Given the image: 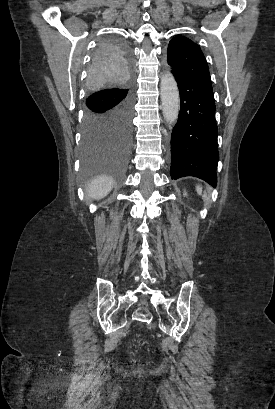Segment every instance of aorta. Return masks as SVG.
<instances>
[{
    "label": "aorta",
    "mask_w": 275,
    "mask_h": 409,
    "mask_svg": "<svg viewBox=\"0 0 275 409\" xmlns=\"http://www.w3.org/2000/svg\"><path fill=\"white\" fill-rule=\"evenodd\" d=\"M160 94L164 118L172 124L178 118L180 98L177 82L171 72L162 74Z\"/></svg>",
    "instance_id": "762f6f07"
}]
</instances>
